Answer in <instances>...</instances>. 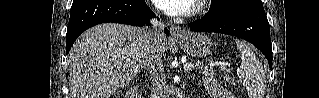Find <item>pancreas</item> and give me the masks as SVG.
<instances>
[{
	"mask_svg": "<svg viewBox=\"0 0 319 98\" xmlns=\"http://www.w3.org/2000/svg\"><path fill=\"white\" fill-rule=\"evenodd\" d=\"M196 72L199 74H203V76L207 79H213L215 76V70L213 67H208L204 64H197L196 65Z\"/></svg>",
	"mask_w": 319,
	"mask_h": 98,
	"instance_id": "cf45deb5",
	"label": "pancreas"
}]
</instances>
